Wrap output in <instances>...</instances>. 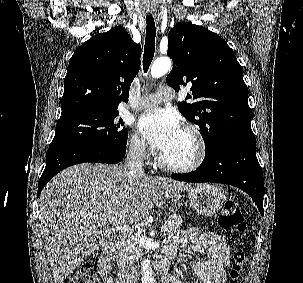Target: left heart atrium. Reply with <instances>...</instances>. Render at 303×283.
<instances>
[{"instance_id": "left-heart-atrium-1", "label": "left heart atrium", "mask_w": 303, "mask_h": 283, "mask_svg": "<svg viewBox=\"0 0 303 283\" xmlns=\"http://www.w3.org/2000/svg\"><path fill=\"white\" fill-rule=\"evenodd\" d=\"M141 135L157 150H167L181 132L177 115L166 109H153L143 114L138 122Z\"/></svg>"}]
</instances>
